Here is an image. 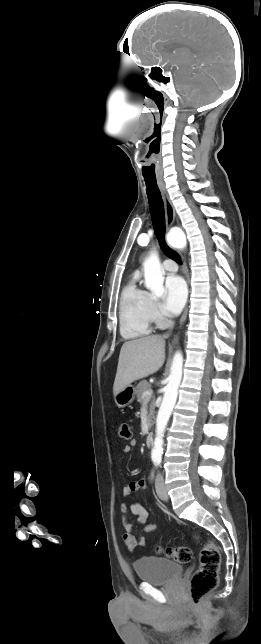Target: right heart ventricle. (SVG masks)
Segmentation results:
<instances>
[{
  "mask_svg": "<svg viewBox=\"0 0 261 644\" xmlns=\"http://www.w3.org/2000/svg\"><path fill=\"white\" fill-rule=\"evenodd\" d=\"M151 296L132 278L123 288L120 300V332L124 338L135 339L152 332Z\"/></svg>",
  "mask_w": 261,
  "mask_h": 644,
  "instance_id": "e07e8e85",
  "label": "right heart ventricle"
}]
</instances>
